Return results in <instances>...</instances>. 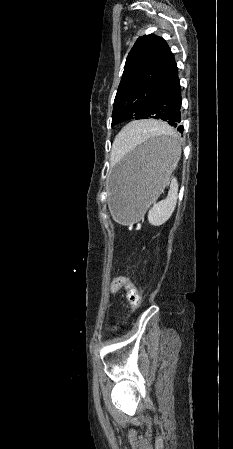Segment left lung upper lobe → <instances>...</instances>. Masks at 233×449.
<instances>
[{"label":"left lung upper lobe","instance_id":"5c2ea615","mask_svg":"<svg viewBox=\"0 0 233 449\" xmlns=\"http://www.w3.org/2000/svg\"><path fill=\"white\" fill-rule=\"evenodd\" d=\"M177 69L173 53L163 38L153 34L140 37L126 59L111 125L126 119L145 118L151 101Z\"/></svg>","mask_w":233,"mask_h":449}]
</instances>
